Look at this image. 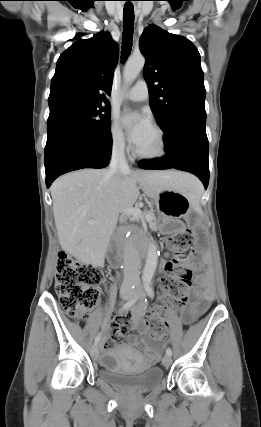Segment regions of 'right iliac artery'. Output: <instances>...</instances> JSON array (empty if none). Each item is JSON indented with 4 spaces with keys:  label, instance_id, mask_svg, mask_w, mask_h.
Masks as SVG:
<instances>
[{
    "label": "right iliac artery",
    "instance_id": "obj_1",
    "mask_svg": "<svg viewBox=\"0 0 261 427\" xmlns=\"http://www.w3.org/2000/svg\"><path fill=\"white\" fill-rule=\"evenodd\" d=\"M136 300H137V298H133V299H131V300L127 301V302L123 305L122 309H123V310H126V309L130 308L132 305H134V304H135ZM100 339H101V335H100V334H98V335L96 336V338H95V344H98V343H99V341H100Z\"/></svg>",
    "mask_w": 261,
    "mask_h": 427
}]
</instances>
